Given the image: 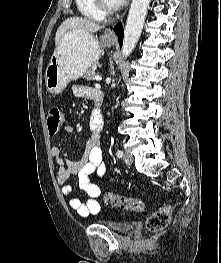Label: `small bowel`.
Here are the masks:
<instances>
[{"instance_id": "small-bowel-1", "label": "small bowel", "mask_w": 221, "mask_h": 263, "mask_svg": "<svg viewBox=\"0 0 221 263\" xmlns=\"http://www.w3.org/2000/svg\"><path fill=\"white\" fill-rule=\"evenodd\" d=\"M73 93L78 97L94 99V95L101 93V91L82 84H76L73 86ZM102 127H97L91 121V132L83 156L79 160L62 157L61 150L57 146L51 148V155L58 166L56 179L61 187V192L64 196L69 197L70 207L76 210L80 216L94 215L100 211L98 199L101 189L99 185L90 181V176L95 174L99 180H102L106 173L102 151ZM63 132L72 134L74 133V127L66 124L63 127ZM72 175H77L79 187L87 195V200L84 203L79 198L72 196L73 187L68 183Z\"/></svg>"}]
</instances>
